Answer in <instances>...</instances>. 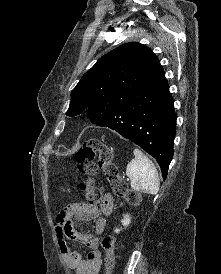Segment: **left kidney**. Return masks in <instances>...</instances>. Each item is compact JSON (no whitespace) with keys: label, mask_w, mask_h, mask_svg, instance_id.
<instances>
[{"label":"left kidney","mask_w":221,"mask_h":274,"mask_svg":"<svg viewBox=\"0 0 221 274\" xmlns=\"http://www.w3.org/2000/svg\"><path fill=\"white\" fill-rule=\"evenodd\" d=\"M130 222H131L130 215L129 214L124 215L123 219L121 220L122 225L127 227L130 224ZM115 232L119 233L120 229H115Z\"/></svg>","instance_id":"5707ae66"}]
</instances>
